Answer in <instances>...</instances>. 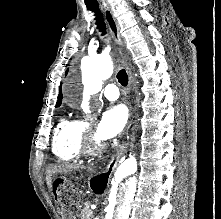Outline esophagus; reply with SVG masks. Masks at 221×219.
Instances as JSON below:
<instances>
[{
    "instance_id": "1",
    "label": "esophagus",
    "mask_w": 221,
    "mask_h": 219,
    "mask_svg": "<svg viewBox=\"0 0 221 219\" xmlns=\"http://www.w3.org/2000/svg\"><path fill=\"white\" fill-rule=\"evenodd\" d=\"M104 15H105L106 21L109 26V30L111 32V35H112L115 43L119 46L120 49H122L123 41H122V38L120 35L119 26H118V23L113 15L111 9L108 6L104 7ZM123 63L125 65L126 72L128 74V78H129L128 87H129V89H131L132 84H133V76H132L131 70H130L129 66L127 65V62L124 58H123Z\"/></svg>"
}]
</instances>
